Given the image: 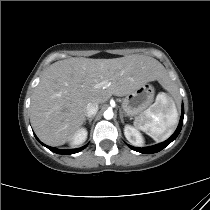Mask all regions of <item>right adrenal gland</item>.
Wrapping results in <instances>:
<instances>
[{"instance_id": "2a0ac1e0", "label": "right adrenal gland", "mask_w": 210, "mask_h": 210, "mask_svg": "<svg viewBox=\"0 0 210 210\" xmlns=\"http://www.w3.org/2000/svg\"><path fill=\"white\" fill-rule=\"evenodd\" d=\"M93 118H94V116H91V117H89V118L85 119V121H84V122L86 123V120H88V121H89V123L91 124V122H92Z\"/></svg>"}]
</instances>
